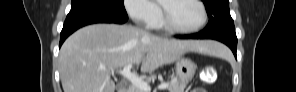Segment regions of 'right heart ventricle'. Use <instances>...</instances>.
I'll list each match as a JSON object with an SVG mask.
<instances>
[{"label":"right heart ventricle","instance_id":"e07e8e85","mask_svg":"<svg viewBox=\"0 0 296 92\" xmlns=\"http://www.w3.org/2000/svg\"><path fill=\"white\" fill-rule=\"evenodd\" d=\"M150 26L154 29H165L161 15H159L155 22H153Z\"/></svg>","mask_w":296,"mask_h":92}]
</instances>
